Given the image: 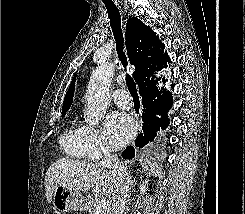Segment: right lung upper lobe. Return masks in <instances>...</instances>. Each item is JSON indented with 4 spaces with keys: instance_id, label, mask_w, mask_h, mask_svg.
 Instances as JSON below:
<instances>
[{
    "instance_id": "cb5924a9",
    "label": "right lung upper lobe",
    "mask_w": 245,
    "mask_h": 214,
    "mask_svg": "<svg viewBox=\"0 0 245 214\" xmlns=\"http://www.w3.org/2000/svg\"><path fill=\"white\" fill-rule=\"evenodd\" d=\"M164 48V44L150 27L143 25L137 18L127 20L126 49L130 63L135 66L133 77L138 85L156 66L169 59ZM75 78L64 98L62 113H66L73 102Z\"/></svg>"
}]
</instances>
